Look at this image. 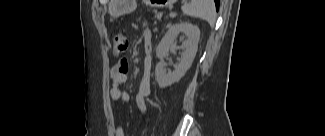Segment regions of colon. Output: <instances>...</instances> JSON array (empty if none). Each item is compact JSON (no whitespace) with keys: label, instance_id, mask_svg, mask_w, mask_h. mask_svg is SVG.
<instances>
[{"label":"colon","instance_id":"5ec220e1","mask_svg":"<svg viewBox=\"0 0 325 136\" xmlns=\"http://www.w3.org/2000/svg\"><path fill=\"white\" fill-rule=\"evenodd\" d=\"M128 46V42L125 36L121 33H117L113 40V52L116 55L123 53Z\"/></svg>","mask_w":325,"mask_h":136}]
</instances>
